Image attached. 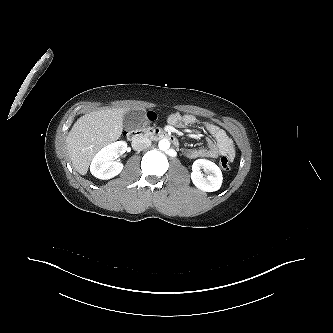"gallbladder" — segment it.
I'll return each instance as SVG.
<instances>
[{
	"label": "gallbladder",
	"mask_w": 333,
	"mask_h": 333,
	"mask_svg": "<svg viewBox=\"0 0 333 333\" xmlns=\"http://www.w3.org/2000/svg\"><path fill=\"white\" fill-rule=\"evenodd\" d=\"M145 112L143 110L130 111L124 116L123 126L127 130L137 128L144 120Z\"/></svg>",
	"instance_id": "gallbladder-1"
}]
</instances>
